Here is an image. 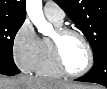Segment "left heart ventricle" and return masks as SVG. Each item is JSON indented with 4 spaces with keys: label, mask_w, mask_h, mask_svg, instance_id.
Segmentation results:
<instances>
[{
    "label": "left heart ventricle",
    "mask_w": 107,
    "mask_h": 89,
    "mask_svg": "<svg viewBox=\"0 0 107 89\" xmlns=\"http://www.w3.org/2000/svg\"><path fill=\"white\" fill-rule=\"evenodd\" d=\"M61 52L67 69L79 72L88 62V53L83 41L76 35H68L61 43Z\"/></svg>",
    "instance_id": "left-heart-ventricle-1"
}]
</instances>
